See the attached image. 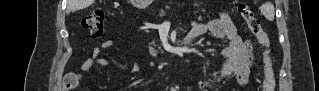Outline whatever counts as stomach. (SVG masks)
Returning a JSON list of instances; mask_svg holds the SVG:
<instances>
[{
    "label": "stomach",
    "instance_id": "obj_1",
    "mask_svg": "<svg viewBox=\"0 0 319 91\" xmlns=\"http://www.w3.org/2000/svg\"><path fill=\"white\" fill-rule=\"evenodd\" d=\"M151 0H136L137 4H140V2H144L146 4L150 3Z\"/></svg>",
    "mask_w": 319,
    "mask_h": 91
}]
</instances>
